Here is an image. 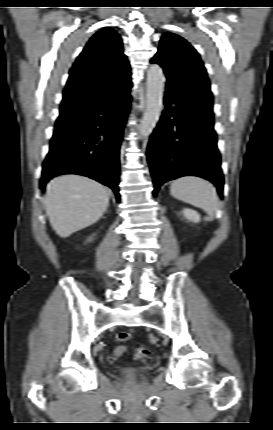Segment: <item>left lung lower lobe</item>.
<instances>
[{
    "mask_svg": "<svg viewBox=\"0 0 273 430\" xmlns=\"http://www.w3.org/2000/svg\"><path fill=\"white\" fill-rule=\"evenodd\" d=\"M147 158L154 196L163 183L182 176L205 178L222 195L224 180L213 119L198 115L167 88L165 109L150 137Z\"/></svg>",
    "mask_w": 273,
    "mask_h": 430,
    "instance_id": "obj_1",
    "label": "left lung lower lobe"
}]
</instances>
